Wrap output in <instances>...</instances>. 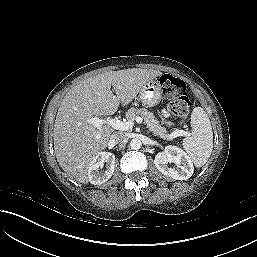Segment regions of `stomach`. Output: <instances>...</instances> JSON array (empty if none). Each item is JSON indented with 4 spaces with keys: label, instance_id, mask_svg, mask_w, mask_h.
<instances>
[{
    "label": "stomach",
    "instance_id": "stomach-1",
    "mask_svg": "<svg viewBox=\"0 0 257 257\" xmlns=\"http://www.w3.org/2000/svg\"><path fill=\"white\" fill-rule=\"evenodd\" d=\"M161 86L157 80L148 81L139 92V99L147 107H154L161 101Z\"/></svg>",
    "mask_w": 257,
    "mask_h": 257
}]
</instances>
